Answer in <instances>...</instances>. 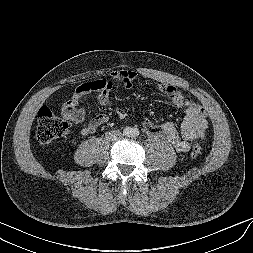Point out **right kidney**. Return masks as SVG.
<instances>
[{
    "mask_svg": "<svg viewBox=\"0 0 253 253\" xmlns=\"http://www.w3.org/2000/svg\"><path fill=\"white\" fill-rule=\"evenodd\" d=\"M72 143H73V144H75L76 142H75V141H73Z\"/></svg>",
    "mask_w": 253,
    "mask_h": 253,
    "instance_id": "right-kidney-1",
    "label": "right kidney"
}]
</instances>
